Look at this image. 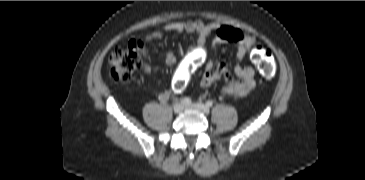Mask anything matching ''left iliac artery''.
Listing matches in <instances>:
<instances>
[{
	"instance_id": "44dca946",
	"label": "left iliac artery",
	"mask_w": 365,
	"mask_h": 180,
	"mask_svg": "<svg viewBox=\"0 0 365 180\" xmlns=\"http://www.w3.org/2000/svg\"><path fill=\"white\" fill-rule=\"evenodd\" d=\"M212 105H213V102H212V101H207V102H206V106H207V107H211Z\"/></svg>"
}]
</instances>
